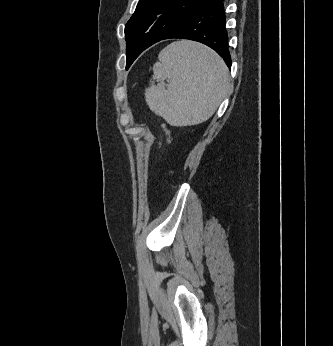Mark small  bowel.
<instances>
[{"instance_id": "obj_1", "label": "small bowel", "mask_w": 333, "mask_h": 346, "mask_svg": "<svg viewBox=\"0 0 333 346\" xmlns=\"http://www.w3.org/2000/svg\"><path fill=\"white\" fill-rule=\"evenodd\" d=\"M162 127H163L164 131L166 132V134L169 136V131H168L167 127L164 124L162 125Z\"/></svg>"}]
</instances>
